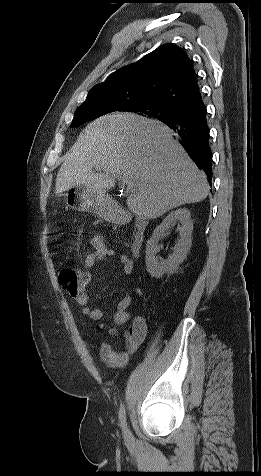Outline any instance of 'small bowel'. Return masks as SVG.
Listing matches in <instances>:
<instances>
[{
  "mask_svg": "<svg viewBox=\"0 0 261 476\" xmlns=\"http://www.w3.org/2000/svg\"><path fill=\"white\" fill-rule=\"evenodd\" d=\"M92 251L85 255L84 267L89 269L97 262H102L107 258H116L122 265V271L125 275H130L133 271V261L124 254H117L113 249H110L104 243L103 238L95 234L91 239ZM86 278V282L78 289L76 293H70L73 299L81 308V313L93 320H99L102 317V311L98 307H91L88 305L89 296L85 290L89 282V274L87 272H80ZM131 304V297L126 294L119 301L117 311L114 316V322L118 327L124 329V337L126 347L124 351H115L109 344L100 343L98 346V356L100 362L109 368L124 367L135 353L138 346L143 342L147 334V323L142 317L131 318L128 311Z\"/></svg>",
  "mask_w": 261,
  "mask_h": 476,
  "instance_id": "1",
  "label": "small bowel"
}]
</instances>
